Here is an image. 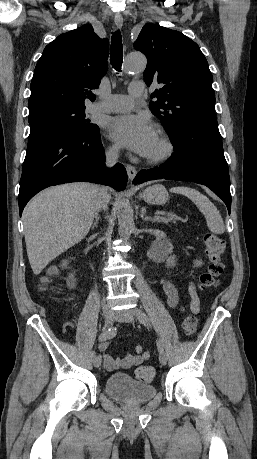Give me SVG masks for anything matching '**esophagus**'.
I'll return each instance as SVG.
<instances>
[{"mask_svg": "<svg viewBox=\"0 0 257 459\" xmlns=\"http://www.w3.org/2000/svg\"><path fill=\"white\" fill-rule=\"evenodd\" d=\"M114 21H115V24L118 28H122L123 26V17L120 13H116L115 16H114ZM126 171H127V175H128V178L132 181L135 176H136V169L134 166L132 165H126Z\"/></svg>", "mask_w": 257, "mask_h": 459, "instance_id": "1", "label": "esophagus"}]
</instances>
